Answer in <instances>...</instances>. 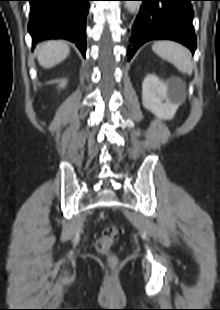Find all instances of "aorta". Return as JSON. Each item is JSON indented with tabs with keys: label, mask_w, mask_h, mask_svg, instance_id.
Here are the masks:
<instances>
[{
	"label": "aorta",
	"mask_w": 220,
	"mask_h": 310,
	"mask_svg": "<svg viewBox=\"0 0 220 310\" xmlns=\"http://www.w3.org/2000/svg\"><path fill=\"white\" fill-rule=\"evenodd\" d=\"M125 5L128 11L133 14L139 10L141 2L140 1H126Z\"/></svg>",
	"instance_id": "762f6f07"
}]
</instances>
